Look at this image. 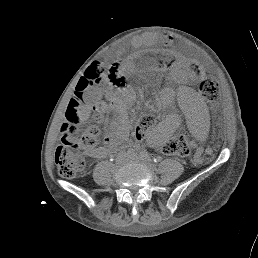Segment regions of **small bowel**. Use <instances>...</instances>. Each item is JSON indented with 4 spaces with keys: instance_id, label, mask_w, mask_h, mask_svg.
<instances>
[{
    "instance_id": "small-bowel-1",
    "label": "small bowel",
    "mask_w": 258,
    "mask_h": 258,
    "mask_svg": "<svg viewBox=\"0 0 258 258\" xmlns=\"http://www.w3.org/2000/svg\"><path fill=\"white\" fill-rule=\"evenodd\" d=\"M142 40L140 39H136L132 42L131 46L132 47H139L141 44H142ZM91 93H92V96H94L96 94V91L95 90H91ZM115 98L114 95L111 96V100L113 101V99ZM103 110V109H102ZM89 114H90V110L89 109H85L82 111V119L85 121L89 118ZM121 131H122V137H126L127 136V130L124 129V128H121ZM154 141H157L159 140V137L156 136L153 138ZM108 154V149L106 148H97L95 150H93L91 152V155L93 157H96V158H101V157H104Z\"/></svg>"
}]
</instances>
